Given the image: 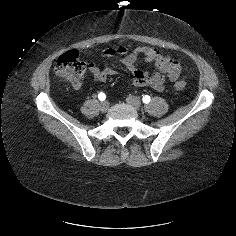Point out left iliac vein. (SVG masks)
<instances>
[{
    "label": "left iliac vein",
    "instance_id": "4c4485c4",
    "mask_svg": "<svg viewBox=\"0 0 236 236\" xmlns=\"http://www.w3.org/2000/svg\"><path fill=\"white\" fill-rule=\"evenodd\" d=\"M127 104L132 106L134 109L139 110L141 107V101L135 96H128L126 98Z\"/></svg>",
    "mask_w": 236,
    "mask_h": 236
}]
</instances>
